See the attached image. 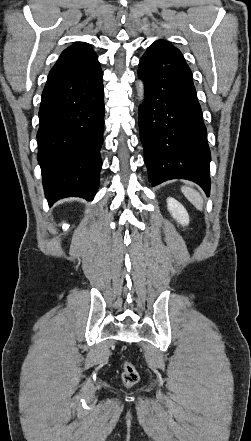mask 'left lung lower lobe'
Instances as JSON below:
<instances>
[{
    "label": "left lung lower lobe",
    "instance_id": "left-lung-lower-lobe-1",
    "mask_svg": "<svg viewBox=\"0 0 251 441\" xmlns=\"http://www.w3.org/2000/svg\"><path fill=\"white\" fill-rule=\"evenodd\" d=\"M138 75L145 85L146 99L138 113L149 182L156 186L188 179L209 196L206 127L183 55L177 48L152 44L140 59Z\"/></svg>",
    "mask_w": 251,
    "mask_h": 441
}]
</instances>
